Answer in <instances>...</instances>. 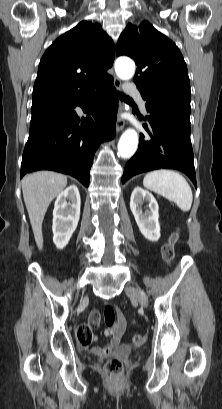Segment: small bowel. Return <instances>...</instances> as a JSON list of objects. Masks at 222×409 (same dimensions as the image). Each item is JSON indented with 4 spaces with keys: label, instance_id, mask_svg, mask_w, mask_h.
I'll use <instances>...</instances> for the list:
<instances>
[{
    "label": "small bowel",
    "instance_id": "c3829d8e",
    "mask_svg": "<svg viewBox=\"0 0 222 409\" xmlns=\"http://www.w3.org/2000/svg\"><path fill=\"white\" fill-rule=\"evenodd\" d=\"M100 315L98 311L94 310L90 313L88 323L86 324L89 330L92 333V340L90 344L83 345L84 347L88 348L92 343L97 340V337L93 334V330L99 327ZM128 325V321L124 314L121 311H117L116 321H114L113 325L107 328L104 333L105 336L109 338L108 342L105 346H93L91 347V352L95 355H104L111 352L114 348H116L120 340L126 330Z\"/></svg>",
    "mask_w": 222,
    "mask_h": 409
}]
</instances>
